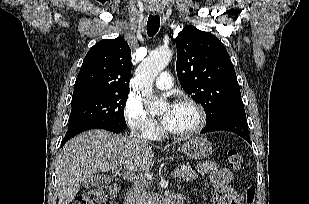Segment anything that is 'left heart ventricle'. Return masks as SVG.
Here are the masks:
<instances>
[{"label":"left heart ventricle","instance_id":"left-heart-ventricle-1","mask_svg":"<svg viewBox=\"0 0 309 204\" xmlns=\"http://www.w3.org/2000/svg\"><path fill=\"white\" fill-rule=\"evenodd\" d=\"M169 113L168 123L165 126L172 132H186L194 128L198 122V113L191 106L174 105L162 111V117Z\"/></svg>","mask_w":309,"mask_h":204}]
</instances>
